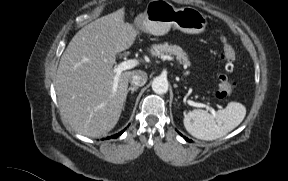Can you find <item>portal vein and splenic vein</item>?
<instances>
[{"label":"portal vein and splenic vein","mask_w":288,"mask_h":181,"mask_svg":"<svg viewBox=\"0 0 288 181\" xmlns=\"http://www.w3.org/2000/svg\"><path fill=\"white\" fill-rule=\"evenodd\" d=\"M162 58L163 59H170L169 56H162ZM137 65H139V61L136 59H129V60L123 61L117 65V67L114 69V72L116 73L115 78H114V84H113V90L114 91H116V89H117L118 80H119V76L121 75V73L125 70L132 69V68L136 67ZM188 104L191 106H194V107L206 108L211 113H213V114L215 113V110L212 107L205 105L203 103H198V102H194V101L189 100Z\"/></svg>","instance_id":"obj_1"}]
</instances>
